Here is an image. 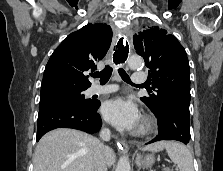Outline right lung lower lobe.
<instances>
[{
    "label": "right lung lower lobe",
    "instance_id": "right-lung-lower-lobe-1",
    "mask_svg": "<svg viewBox=\"0 0 223 171\" xmlns=\"http://www.w3.org/2000/svg\"><path fill=\"white\" fill-rule=\"evenodd\" d=\"M98 100L91 106L75 102H55L39 108L36 141L48 131L56 128H73L87 133L99 131L102 121L97 109Z\"/></svg>",
    "mask_w": 223,
    "mask_h": 171
}]
</instances>
